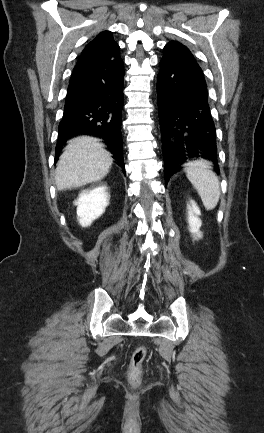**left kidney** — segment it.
<instances>
[{
  "label": "left kidney",
  "mask_w": 264,
  "mask_h": 433,
  "mask_svg": "<svg viewBox=\"0 0 264 433\" xmlns=\"http://www.w3.org/2000/svg\"><path fill=\"white\" fill-rule=\"evenodd\" d=\"M200 210L194 201H190V205H188V223H189V231L193 234L195 239L201 238L202 234L199 231L201 227V220L199 219Z\"/></svg>",
  "instance_id": "1"
}]
</instances>
